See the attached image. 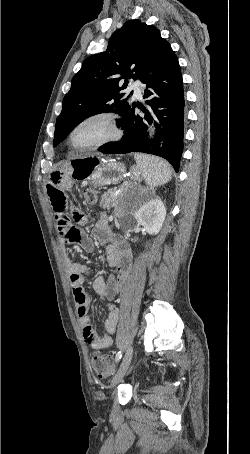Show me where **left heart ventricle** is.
<instances>
[{"label": "left heart ventricle", "instance_id": "left-heart-ventricle-1", "mask_svg": "<svg viewBox=\"0 0 250 454\" xmlns=\"http://www.w3.org/2000/svg\"><path fill=\"white\" fill-rule=\"evenodd\" d=\"M107 130L102 123H94L80 129L75 137L74 143L78 146L90 144L106 134Z\"/></svg>", "mask_w": 250, "mask_h": 454}]
</instances>
